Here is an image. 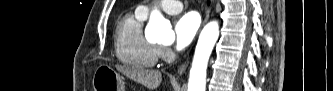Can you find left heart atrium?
<instances>
[{"instance_id":"left-heart-atrium-1","label":"left heart atrium","mask_w":333,"mask_h":91,"mask_svg":"<svg viewBox=\"0 0 333 91\" xmlns=\"http://www.w3.org/2000/svg\"><path fill=\"white\" fill-rule=\"evenodd\" d=\"M199 28V18L189 12L180 16L174 23L175 47L178 50L186 48L194 39Z\"/></svg>"}]
</instances>
